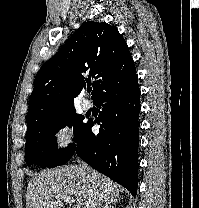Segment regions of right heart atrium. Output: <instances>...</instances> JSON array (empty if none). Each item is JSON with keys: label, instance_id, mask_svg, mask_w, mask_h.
<instances>
[{"label": "right heart atrium", "instance_id": "d8ad5b80", "mask_svg": "<svg viewBox=\"0 0 199 208\" xmlns=\"http://www.w3.org/2000/svg\"><path fill=\"white\" fill-rule=\"evenodd\" d=\"M53 147L57 152H66L74 144V130L67 120L59 122L52 134Z\"/></svg>", "mask_w": 199, "mask_h": 208}]
</instances>
